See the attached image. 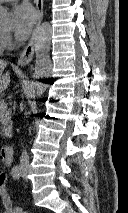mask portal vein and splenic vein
<instances>
[{"mask_svg": "<svg viewBox=\"0 0 128 213\" xmlns=\"http://www.w3.org/2000/svg\"><path fill=\"white\" fill-rule=\"evenodd\" d=\"M7 108V104L5 102H0V110L3 111V110H6Z\"/></svg>", "mask_w": 128, "mask_h": 213, "instance_id": "18ae733b", "label": "portal vein and splenic vein"}]
</instances>
